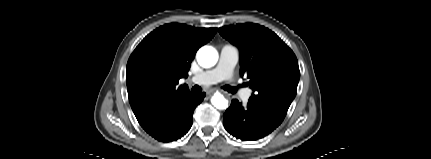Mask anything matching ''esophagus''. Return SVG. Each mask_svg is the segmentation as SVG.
Wrapping results in <instances>:
<instances>
[{
	"instance_id": "esophagus-1",
	"label": "esophagus",
	"mask_w": 431,
	"mask_h": 159,
	"mask_svg": "<svg viewBox=\"0 0 431 159\" xmlns=\"http://www.w3.org/2000/svg\"><path fill=\"white\" fill-rule=\"evenodd\" d=\"M215 92V89H208L207 91H206V93L208 94V95H210V94H212V93H214Z\"/></svg>"
}]
</instances>
